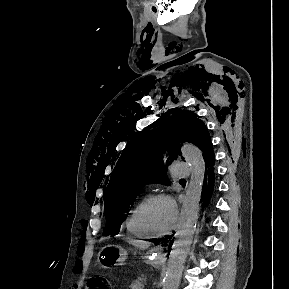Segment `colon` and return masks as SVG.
I'll use <instances>...</instances> for the list:
<instances>
[{
	"label": "colon",
	"instance_id": "1",
	"mask_svg": "<svg viewBox=\"0 0 289 289\" xmlns=\"http://www.w3.org/2000/svg\"><path fill=\"white\" fill-rule=\"evenodd\" d=\"M86 289H107V286L104 279L97 276L88 281Z\"/></svg>",
	"mask_w": 289,
	"mask_h": 289
}]
</instances>
